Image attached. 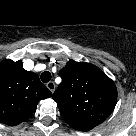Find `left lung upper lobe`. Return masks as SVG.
Wrapping results in <instances>:
<instances>
[{"mask_svg": "<svg viewBox=\"0 0 136 136\" xmlns=\"http://www.w3.org/2000/svg\"><path fill=\"white\" fill-rule=\"evenodd\" d=\"M53 99L63 119L74 129L88 131L102 123L114 110L117 88L98 67L69 61Z\"/></svg>", "mask_w": 136, "mask_h": 136, "instance_id": "left-lung-upper-lobe-1", "label": "left lung upper lobe"}]
</instances>
